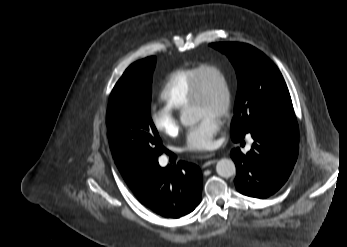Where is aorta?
<instances>
[{
	"instance_id": "obj_1",
	"label": "aorta",
	"mask_w": 347,
	"mask_h": 247,
	"mask_svg": "<svg viewBox=\"0 0 347 247\" xmlns=\"http://www.w3.org/2000/svg\"><path fill=\"white\" fill-rule=\"evenodd\" d=\"M199 120L198 115L191 108L184 110L180 115L181 124L184 126H191ZM216 172L219 176L229 178L236 172V166L231 159L222 158L217 162Z\"/></svg>"
}]
</instances>
